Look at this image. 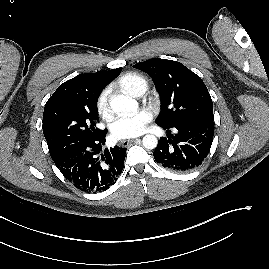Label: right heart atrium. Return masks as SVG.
Listing matches in <instances>:
<instances>
[{"label":"right heart atrium","mask_w":269,"mask_h":269,"mask_svg":"<svg viewBox=\"0 0 269 269\" xmlns=\"http://www.w3.org/2000/svg\"><path fill=\"white\" fill-rule=\"evenodd\" d=\"M108 94L109 92L107 89L103 90L98 96V99L96 102L98 113L105 118L109 117L110 115V108L108 104Z\"/></svg>","instance_id":"right-heart-atrium-1"}]
</instances>
